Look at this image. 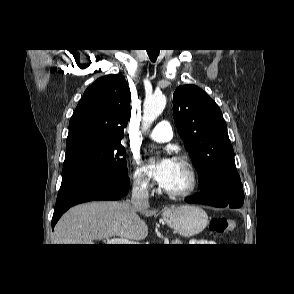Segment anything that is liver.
Listing matches in <instances>:
<instances>
[{"instance_id": "obj_1", "label": "liver", "mask_w": 294, "mask_h": 294, "mask_svg": "<svg viewBox=\"0 0 294 294\" xmlns=\"http://www.w3.org/2000/svg\"><path fill=\"white\" fill-rule=\"evenodd\" d=\"M151 214L147 207L135 209L128 202H88L69 209L54 228L53 244H94V240L118 236L141 240L148 235L146 222L138 216Z\"/></svg>"}]
</instances>
